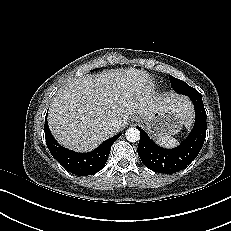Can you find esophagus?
Returning a JSON list of instances; mask_svg holds the SVG:
<instances>
[{"mask_svg":"<svg viewBox=\"0 0 231 231\" xmlns=\"http://www.w3.org/2000/svg\"><path fill=\"white\" fill-rule=\"evenodd\" d=\"M139 120H138V118H132V122H138Z\"/></svg>","mask_w":231,"mask_h":231,"instance_id":"obj_1","label":"esophagus"}]
</instances>
